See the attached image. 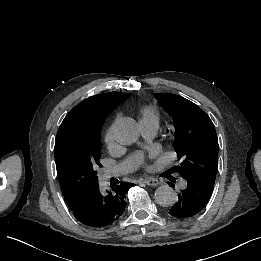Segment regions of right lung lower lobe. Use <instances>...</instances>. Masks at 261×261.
Returning <instances> with one entry per match:
<instances>
[{"label": "right lung lower lobe", "instance_id": "obj_1", "mask_svg": "<svg viewBox=\"0 0 261 261\" xmlns=\"http://www.w3.org/2000/svg\"><path fill=\"white\" fill-rule=\"evenodd\" d=\"M132 183L122 182L111 191L103 192L99 184L68 204L74 217L90 227H104L115 222L123 213L125 194Z\"/></svg>", "mask_w": 261, "mask_h": 261}]
</instances>
